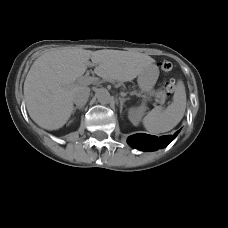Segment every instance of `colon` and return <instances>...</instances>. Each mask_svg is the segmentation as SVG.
I'll list each match as a JSON object with an SVG mask.
<instances>
[{"label": "colon", "instance_id": "1", "mask_svg": "<svg viewBox=\"0 0 228 228\" xmlns=\"http://www.w3.org/2000/svg\"><path fill=\"white\" fill-rule=\"evenodd\" d=\"M172 64L168 61H164L160 64V68L164 72H169L172 70ZM166 90L168 93H172L175 90V82L172 80L166 85Z\"/></svg>", "mask_w": 228, "mask_h": 228}]
</instances>
